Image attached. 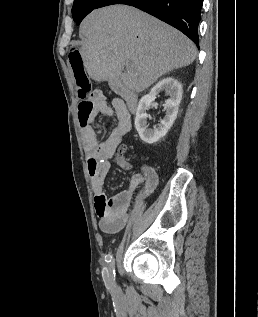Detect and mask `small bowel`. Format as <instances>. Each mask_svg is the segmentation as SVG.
<instances>
[{"mask_svg": "<svg viewBox=\"0 0 258 317\" xmlns=\"http://www.w3.org/2000/svg\"><path fill=\"white\" fill-rule=\"evenodd\" d=\"M77 114L87 154V168L99 227L106 233H117L124 228L133 212L136 193L143 189V197L149 196L158 184V175L153 167L144 165L140 173L132 176L127 190L108 198L104 188L105 178L116 148L131 129L130 107L121 98L113 99L109 105L104 94L96 90L89 99L78 104ZM98 114L114 116L117 119L115 127L105 141H99L90 126Z\"/></svg>", "mask_w": 258, "mask_h": 317, "instance_id": "small-bowel-1", "label": "small bowel"}]
</instances>
